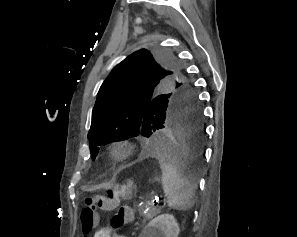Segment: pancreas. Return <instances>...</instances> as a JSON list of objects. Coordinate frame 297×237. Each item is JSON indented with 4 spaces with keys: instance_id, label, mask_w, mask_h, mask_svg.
<instances>
[{
    "instance_id": "1",
    "label": "pancreas",
    "mask_w": 297,
    "mask_h": 237,
    "mask_svg": "<svg viewBox=\"0 0 297 237\" xmlns=\"http://www.w3.org/2000/svg\"><path fill=\"white\" fill-rule=\"evenodd\" d=\"M160 212L159 209L155 207H150L149 211L147 212H141V215L146 219H152L154 216H156Z\"/></svg>"
}]
</instances>
